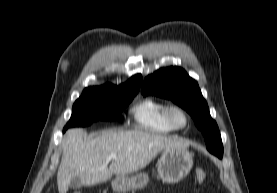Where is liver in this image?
<instances>
[{
  "mask_svg": "<svg viewBox=\"0 0 277 193\" xmlns=\"http://www.w3.org/2000/svg\"><path fill=\"white\" fill-rule=\"evenodd\" d=\"M86 137L87 132L80 128L70 129L64 136L57 172L59 193H66L75 177L80 178L82 185H95L109 180L113 174L125 176L137 172L164 149L188 147L183 139L141 130H107L94 138ZM112 153L117 158L108 167Z\"/></svg>",
  "mask_w": 277,
  "mask_h": 193,
  "instance_id": "1",
  "label": "liver"
}]
</instances>
